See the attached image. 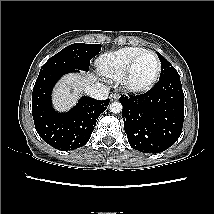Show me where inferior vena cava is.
<instances>
[{"instance_id":"1","label":"inferior vena cava","mask_w":214,"mask_h":214,"mask_svg":"<svg viewBox=\"0 0 214 214\" xmlns=\"http://www.w3.org/2000/svg\"><path fill=\"white\" fill-rule=\"evenodd\" d=\"M85 92L91 98L105 100L108 98L109 88L98 82L87 86Z\"/></svg>"}]
</instances>
